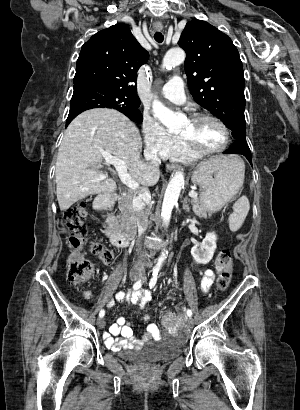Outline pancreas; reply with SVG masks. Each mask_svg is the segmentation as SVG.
Instances as JSON below:
<instances>
[{"instance_id": "cf45deb5", "label": "pancreas", "mask_w": 300, "mask_h": 410, "mask_svg": "<svg viewBox=\"0 0 300 410\" xmlns=\"http://www.w3.org/2000/svg\"><path fill=\"white\" fill-rule=\"evenodd\" d=\"M191 203L193 206V211L197 216L205 219L211 216V214H207L204 205L200 204L197 198L192 199ZM119 208L121 215L118 216L119 224L117 226V231L128 236L130 229L134 228L136 223V213L132 207V198L129 196L121 199Z\"/></svg>"}]
</instances>
